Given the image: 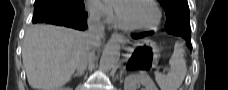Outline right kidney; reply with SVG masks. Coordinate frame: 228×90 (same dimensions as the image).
<instances>
[{"mask_svg":"<svg viewBox=\"0 0 228 90\" xmlns=\"http://www.w3.org/2000/svg\"><path fill=\"white\" fill-rule=\"evenodd\" d=\"M59 90H71V88H59Z\"/></svg>","mask_w":228,"mask_h":90,"instance_id":"right-kidney-1","label":"right kidney"}]
</instances>
